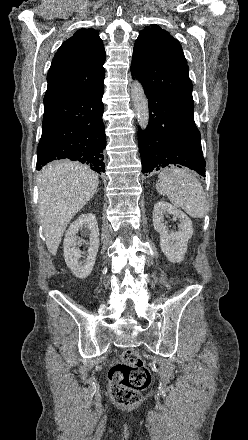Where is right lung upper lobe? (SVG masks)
Instances as JSON below:
<instances>
[{
	"label": "right lung upper lobe",
	"mask_w": 248,
	"mask_h": 440,
	"mask_svg": "<svg viewBox=\"0 0 248 440\" xmlns=\"http://www.w3.org/2000/svg\"><path fill=\"white\" fill-rule=\"evenodd\" d=\"M99 33L80 29L57 50L47 75L44 106L103 86L106 54Z\"/></svg>",
	"instance_id": "cb5924a9"
}]
</instances>
